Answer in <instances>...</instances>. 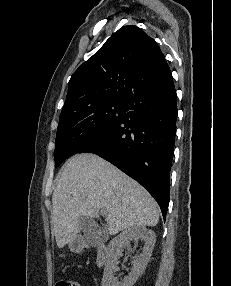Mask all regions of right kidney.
I'll list each match as a JSON object with an SVG mask.
<instances>
[{"mask_svg": "<svg viewBox=\"0 0 231 286\" xmlns=\"http://www.w3.org/2000/svg\"><path fill=\"white\" fill-rule=\"evenodd\" d=\"M142 240L144 247L142 252L133 260L131 272L124 277L123 281L118 282L114 273L118 271V259L122 255L124 248H130V241ZM156 235L154 231L144 226H135L124 230L116 236L109 245L107 262L104 268L102 286H133L137 279L143 274L147 263L150 260Z\"/></svg>", "mask_w": 231, "mask_h": 286, "instance_id": "ca27d5eb", "label": "right kidney"}]
</instances>
